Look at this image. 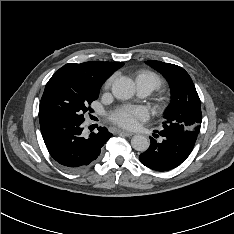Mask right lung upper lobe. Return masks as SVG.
Listing matches in <instances>:
<instances>
[{
	"label": "right lung upper lobe",
	"instance_id": "right-lung-upper-lobe-1",
	"mask_svg": "<svg viewBox=\"0 0 234 234\" xmlns=\"http://www.w3.org/2000/svg\"><path fill=\"white\" fill-rule=\"evenodd\" d=\"M124 63L122 62H85L81 64L68 63L57 73L66 74L79 81L101 86L102 83Z\"/></svg>",
	"mask_w": 234,
	"mask_h": 234
}]
</instances>
